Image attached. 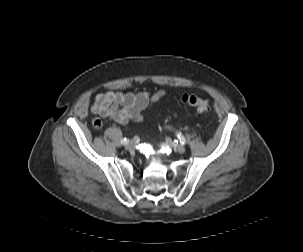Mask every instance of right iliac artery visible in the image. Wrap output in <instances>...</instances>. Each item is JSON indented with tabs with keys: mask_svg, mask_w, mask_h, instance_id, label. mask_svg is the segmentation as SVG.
I'll return each mask as SVG.
<instances>
[{
	"mask_svg": "<svg viewBox=\"0 0 303 252\" xmlns=\"http://www.w3.org/2000/svg\"><path fill=\"white\" fill-rule=\"evenodd\" d=\"M121 143H122V144L128 143V139H127V138H122V139H121Z\"/></svg>",
	"mask_w": 303,
	"mask_h": 252,
	"instance_id": "obj_1",
	"label": "right iliac artery"
}]
</instances>
